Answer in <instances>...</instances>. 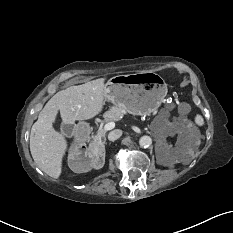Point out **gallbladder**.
Wrapping results in <instances>:
<instances>
[{"label":"gallbladder","mask_w":233,"mask_h":233,"mask_svg":"<svg viewBox=\"0 0 233 233\" xmlns=\"http://www.w3.org/2000/svg\"><path fill=\"white\" fill-rule=\"evenodd\" d=\"M61 131L65 133V135H72L74 132V128L72 125H66V124H62L61 126Z\"/></svg>","instance_id":"obj_1"}]
</instances>
